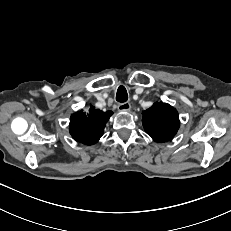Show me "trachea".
<instances>
[{"label": "trachea", "instance_id": "obj_1", "mask_svg": "<svg viewBox=\"0 0 231 231\" xmlns=\"http://www.w3.org/2000/svg\"><path fill=\"white\" fill-rule=\"evenodd\" d=\"M116 100L121 103H124L128 100V94L124 86H119L116 94Z\"/></svg>", "mask_w": 231, "mask_h": 231}]
</instances>
